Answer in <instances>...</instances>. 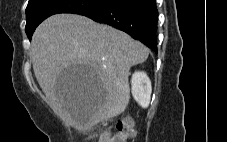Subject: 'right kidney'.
<instances>
[{
  "label": "right kidney",
  "mask_w": 227,
  "mask_h": 142,
  "mask_svg": "<svg viewBox=\"0 0 227 142\" xmlns=\"http://www.w3.org/2000/svg\"><path fill=\"white\" fill-rule=\"evenodd\" d=\"M132 95L143 108H147L150 103L152 87L151 81L144 72H135L131 79Z\"/></svg>",
  "instance_id": "right-kidney-1"
}]
</instances>
